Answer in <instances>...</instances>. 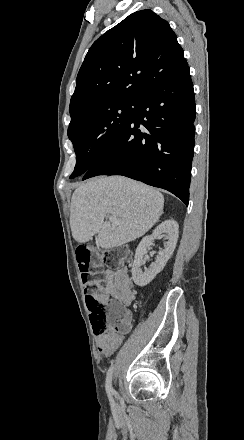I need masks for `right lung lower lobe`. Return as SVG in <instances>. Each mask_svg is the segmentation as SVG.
Here are the masks:
<instances>
[{
	"label": "right lung lower lobe",
	"mask_w": 244,
	"mask_h": 440,
	"mask_svg": "<svg viewBox=\"0 0 244 440\" xmlns=\"http://www.w3.org/2000/svg\"><path fill=\"white\" fill-rule=\"evenodd\" d=\"M124 130L85 172L123 175L189 201L195 99L187 62L161 72L139 98Z\"/></svg>",
	"instance_id": "98d812e1"
}]
</instances>
